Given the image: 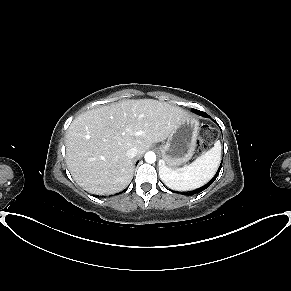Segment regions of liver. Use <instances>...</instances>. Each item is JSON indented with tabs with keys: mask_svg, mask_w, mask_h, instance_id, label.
Returning a JSON list of instances; mask_svg holds the SVG:
<instances>
[{
	"mask_svg": "<svg viewBox=\"0 0 291 291\" xmlns=\"http://www.w3.org/2000/svg\"><path fill=\"white\" fill-rule=\"evenodd\" d=\"M189 116L178 106L153 99L123 100L86 111L66 132L68 169L76 183L90 193L119 192L134 173L127 150L135 147L141 156Z\"/></svg>",
	"mask_w": 291,
	"mask_h": 291,
	"instance_id": "liver-1",
	"label": "liver"
}]
</instances>
